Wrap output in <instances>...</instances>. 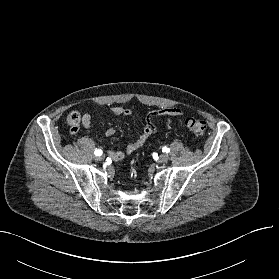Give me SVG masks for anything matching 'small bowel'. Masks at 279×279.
<instances>
[{"label": "small bowel", "instance_id": "c3829d8e", "mask_svg": "<svg viewBox=\"0 0 279 279\" xmlns=\"http://www.w3.org/2000/svg\"><path fill=\"white\" fill-rule=\"evenodd\" d=\"M110 113L114 116H131L132 111L125 107L116 106L111 109ZM182 111L178 107H166L161 108L156 111H152L149 113L146 119V123L141 130L139 137L131 141L127 144L125 150H118V151H109V157L115 161H121L126 155H130L147 141L150 135L155 133L158 130V127L155 125L154 121L156 118L161 116H171V117H179L181 116ZM92 123V117L90 113H85L82 116V125L84 128H90ZM115 134V130L113 128H108L105 131V135L107 137H112Z\"/></svg>", "mask_w": 279, "mask_h": 279}]
</instances>
